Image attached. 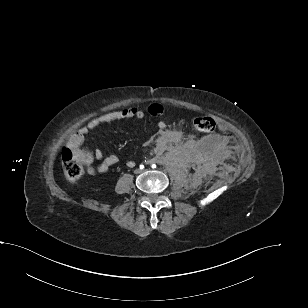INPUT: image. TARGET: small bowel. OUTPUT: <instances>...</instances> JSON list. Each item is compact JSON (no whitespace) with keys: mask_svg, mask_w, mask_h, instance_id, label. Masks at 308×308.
Segmentation results:
<instances>
[{"mask_svg":"<svg viewBox=\"0 0 308 308\" xmlns=\"http://www.w3.org/2000/svg\"><path fill=\"white\" fill-rule=\"evenodd\" d=\"M164 112V108L160 104H151L146 110L137 107H127L120 110L110 111L98 117L91 119L86 125L73 133L67 141V147L72 150L74 156L80 160L87 168L90 174L107 173L110 168L118 162L116 155L105 156L99 149L90 151L83 147L86 135L101 125L127 118L143 119L147 114L154 117H160ZM159 136L157 138V148L165 149L170 144L179 143L182 140V133L178 130L167 129L164 121H159ZM99 160L100 164L95 167L93 163ZM128 167H134L135 162L130 160L127 162Z\"/></svg>","mask_w":308,"mask_h":308,"instance_id":"1","label":"small bowel"}]
</instances>
